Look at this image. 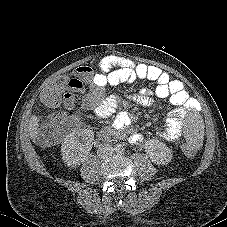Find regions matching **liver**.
Segmentation results:
<instances>
[{"mask_svg": "<svg viewBox=\"0 0 227 227\" xmlns=\"http://www.w3.org/2000/svg\"><path fill=\"white\" fill-rule=\"evenodd\" d=\"M38 122H39V118L37 116L33 115L30 118L28 129L32 139H35L38 133V126H39Z\"/></svg>", "mask_w": 227, "mask_h": 227, "instance_id": "liver-1", "label": "liver"}]
</instances>
